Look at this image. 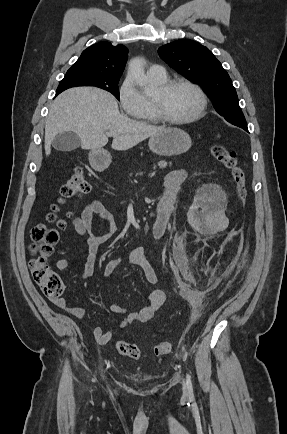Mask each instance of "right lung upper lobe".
Instances as JSON below:
<instances>
[{
    "instance_id": "1",
    "label": "right lung upper lobe",
    "mask_w": 287,
    "mask_h": 434,
    "mask_svg": "<svg viewBox=\"0 0 287 434\" xmlns=\"http://www.w3.org/2000/svg\"><path fill=\"white\" fill-rule=\"evenodd\" d=\"M128 49L124 45L99 42L85 49L68 70L93 76L120 78L127 61ZM61 93L57 92V95Z\"/></svg>"
}]
</instances>
